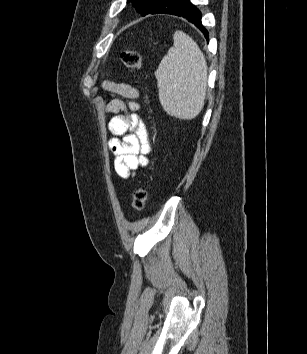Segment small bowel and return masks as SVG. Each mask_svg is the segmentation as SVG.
<instances>
[{
  "instance_id": "1",
  "label": "small bowel",
  "mask_w": 307,
  "mask_h": 354,
  "mask_svg": "<svg viewBox=\"0 0 307 354\" xmlns=\"http://www.w3.org/2000/svg\"><path fill=\"white\" fill-rule=\"evenodd\" d=\"M110 89L119 98L105 108L106 113L116 114L109 122L112 137L108 148L114 156L116 174L129 178L139 167L148 165L151 144L146 126L136 113L139 110V104L135 102L138 90L126 83L111 84Z\"/></svg>"
}]
</instances>
